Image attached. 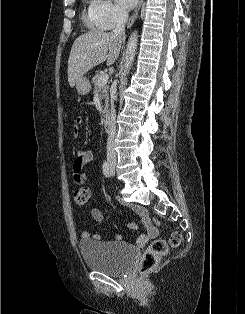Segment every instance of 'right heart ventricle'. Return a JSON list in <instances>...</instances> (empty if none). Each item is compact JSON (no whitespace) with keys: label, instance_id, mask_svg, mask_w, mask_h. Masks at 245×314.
<instances>
[{"label":"right heart ventricle","instance_id":"e07e8e85","mask_svg":"<svg viewBox=\"0 0 245 314\" xmlns=\"http://www.w3.org/2000/svg\"><path fill=\"white\" fill-rule=\"evenodd\" d=\"M84 19L87 21V22H91V17H90V13H85L84 14Z\"/></svg>","mask_w":245,"mask_h":314}]
</instances>
